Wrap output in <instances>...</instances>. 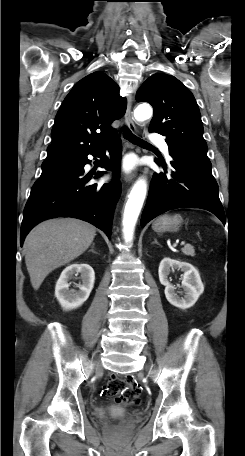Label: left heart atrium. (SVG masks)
I'll use <instances>...</instances> for the list:
<instances>
[{
    "mask_svg": "<svg viewBox=\"0 0 245 456\" xmlns=\"http://www.w3.org/2000/svg\"><path fill=\"white\" fill-rule=\"evenodd\" d=\"M132 167V163L130 161L125 162L124 169L129 170Z\"/></svg>",
    "mask_w": 245,
    "mask_h": 456,
    "instance_id": "39dd6f15",
    "label": "left heart atrium"
}]
</instances>
